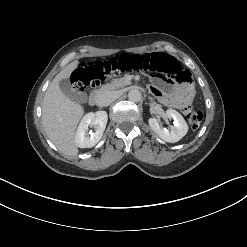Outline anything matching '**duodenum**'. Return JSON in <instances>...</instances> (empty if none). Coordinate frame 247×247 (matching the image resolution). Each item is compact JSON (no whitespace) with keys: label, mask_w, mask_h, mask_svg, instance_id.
Returning <instances> with one entry per match:
<instances>
[{"label":"duodenum","mask_w":247,"mask_h":247,"mask_svg":"<svg viewBox=\"0 0 247 247\" xmlns=\"http://www.w3.org/2000/svg\"><path fill=\"white\" fill-rule=\"evenodd\" d=\"M101 91L99 89L94 90L89 97V102L91 105H98L100 103Z\"/></svg>","instance_id":"duodenum-1"}]
</instances>
